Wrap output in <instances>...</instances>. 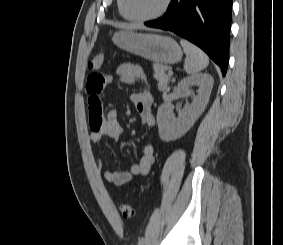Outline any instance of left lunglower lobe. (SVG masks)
Instances as JSON below:
<instances>
[{
    "label": "left lung lower lobe",
    "mask_w": 283,
    "mask_h": 245,
    "mask_svg": "<svg viewBox=\"0 0 283 245\" xmlns=\"http://www.w3.org/2000/svg\"><path fill=\"white\" fill-rule=\"evenodd\" d=\"M232 0H172L159 19L146 26L169 30L204 50L220 66H228Z\"/></svg>",
    "instance_id": "0a47b994"
}]
</instances>
